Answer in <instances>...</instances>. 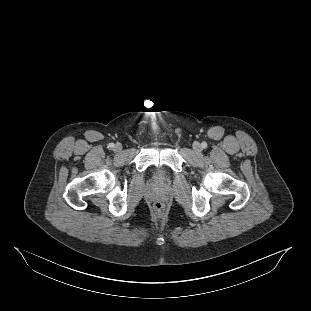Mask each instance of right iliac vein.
<instances>
[{"label": "right iliac vein", "instance_id": "1", "mask_svg": "<svg viewBox=\"0 0 311 311\" xmlns=\"http://www.w3.org/2000/svg\"><path fill=\"white\" fill-rule=\"evenodd\" d=\"M114 150L116 152H119L122 150V145L120 143H116L115 146H114Z\"/></svg>", "mask_w": 311, "mask_h": 311}]
</instances>
